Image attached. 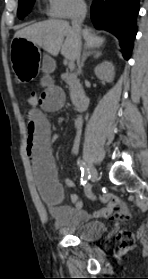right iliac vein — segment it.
Instances as JSON below:
<instances>
[{
  "mask_svg": "<svg viewBox=\"0 0 148 279\" xmlns=\"http://www.w3.org/2000/svg\"><path fill=\"white\" fill-rule=\"evenodd\" d=\"M89 175L91 181H96L97 180V170L93 165L89 166ZM88 191V187H85V192Z\"/></svg>",
  "mask_w": 148,
  "mask_h": 279,
  "instance_id": "63e3f726",
  "label": "right iliac vein"
}]
</instances>
